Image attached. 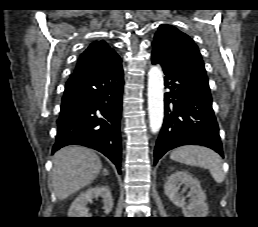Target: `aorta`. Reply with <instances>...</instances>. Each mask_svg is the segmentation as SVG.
<instances>
[{"label": "aorta", "mask_w": 258, "mask_h": 227, "mask_svg": "<svg viewBox=\"0 0 258 227\" xmlns=\"http://www.w3.org/2000/svg\"><path fill=\"white\" fill-rule=\"evenodd\" d=\"M164 80L161 69L152 66L148 74V114L152 133H157L164 118Z\"/></svg>", "instance_id": "1"}]
</instances>
